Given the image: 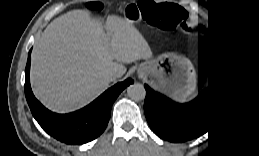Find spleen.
Instances as JSON below:
<instances>
[{
  "label": "spleen",
  "instance_id": "obj_1",
  "mask_svg": "<svg viewBox=\"0 0 259 156\" xmlns=\"http://www.w3.org/2000/svg\"><path fill=\"white\" fill-rule=\"evenodd\" d=\"M188 99L186 98V97H184L183 99H182V101L183 102H185V101H187Z\"/></svg>",
  "mask_w": 259,
  "mask_h": 156
}]
</instances>
